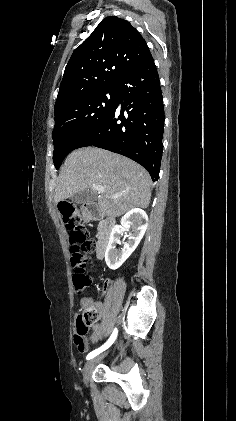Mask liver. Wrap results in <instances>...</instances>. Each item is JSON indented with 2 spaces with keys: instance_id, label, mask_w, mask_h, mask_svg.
<instances>
[{
  "instance_id": "1",
  "label": "liver",
  "mask_w": 236,
  "mask_h": 421,
  "mask_svg": "<svg viewBox=\"0 0 236 421\" xmlns=\"http://www.w3.org/2000/svg\"><path fill=\"white\" fill-rule=\"evenodd\" d=\"M102 184L104 190L93 188L103 217H121L131 208H147L150 202L151 176L141 164L127 156L83 146L68 154L56 178L54 202L73 196L79 190ZM123 194L120 198H109Z\"/></svg>"
}]
</instances>
